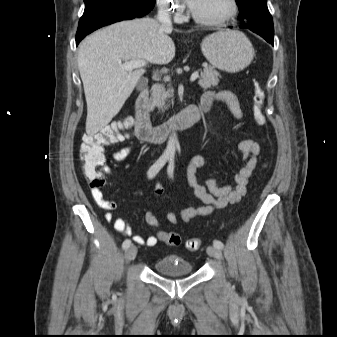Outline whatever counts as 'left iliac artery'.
Wrapping results in <instances>:
<instances>
[{"instance_id":"44dca946","label":"left iliac artery","mask_w":337,"mask_h":337,"mask_svg":"<svg viewBox=\"0 0 337 337\" xmlns=\"http://www.w3.org/2000/svg\"><path fill=\"white\" fill-rule=\"evenodd\" d=\"M174 171V157H170L169 166H168V175L172 178ZM213 246L222 249L224 247L223 243L220 240H214Z\"/></svg>"}]
</instances>
